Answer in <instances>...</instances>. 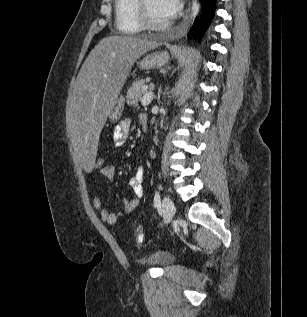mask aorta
I'll return each instance as SVG.
<instances>
[{"label":"aorta","mask_w":307,"mask_h":317,"mask_svg":"<svg viewBox=\"0 0 307 317\" xmlns=\"http://www.w3.org/2000/svg\"><path fill=\"white\" fill-rule=\"evenodd\" d=\"M200 9V3L198 0H193L192 2V9H191V17L194 20L195 17L197 16L198 12Z\"/></svg>","instance_id":"aorta-1"}]
</instances>
